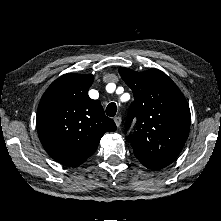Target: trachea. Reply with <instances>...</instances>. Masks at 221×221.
I'll use <instances>...</instances> for the list:
<instances>
[{"label": "trachea", "instance_id": "trachea-1", "mask_svg": "<svg viewBox=\"0 0 221 221\" xmlns=\"http://www.w3.org/2000/svg\"><path fill=\"white\" fill-rule=\"evenodd\" d=\"M117 112V106L114 102H111L108 104L107 108H106V114L110 117L115 116Z\"/></svg>", "mask_w": 221, "mask_h": 221}]
</instances>
